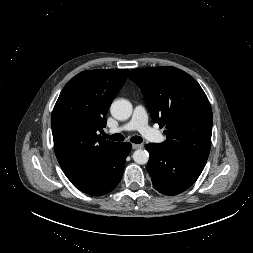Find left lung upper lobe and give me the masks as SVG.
Masks as SVG:
<instances>
[{
  "label": "left lung upper lobe",
  "instance_id": "obj_1",
  "mask_svg": "<svg viewBox=\"0 0 253 253\" xmlns=\"http://www.w3.org/2000/svg\"><path fill=\"white\" fill-rule=\"evenodd\" d=\"M153 122L166 127L160 145L171 154L205 166L211 147L212 109L198 82L175 67L131 70Z\"/></svg>",
  "mask_w": 253,
  "mask_h": 253
}]
</instances>
